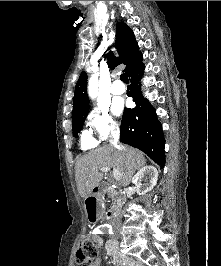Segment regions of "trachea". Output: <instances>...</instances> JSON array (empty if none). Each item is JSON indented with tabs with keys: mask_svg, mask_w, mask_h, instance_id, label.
<instances>
[{
	"mask_svg": "<svg viewBox=\"0 0 221 266\" xmlns=\"http://www.w3.org/2000/svg\"><path fill=\"white\" fill-rule=\"evenodd\" d=\"M120 79H121L124 83H129L128 76H127L125 73L121 74Z\"/></svg>",
	"mask_w": 221,
	"mask_h": 266,
	"instance_id": "1",
	"label": "trachea"
}]
</instances>
